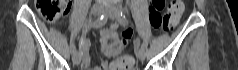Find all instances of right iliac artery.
<instances>
[{
	"label": "right iliac artery",
	"instance_id": "right-iliac-artery-1",
	"mask_svg": "<svg viewBox=\"0 0 238 70\" xmlns=\"http://www.w3.org/2000/svg\"><path fill=\"white\" fill-rule=\"evenodd\" d=\"M106 22H107V16L106 15H101L100 18L96 19L90 25V27L99 28V27H102L103 25H105ZM71 52H72V54H75L77 52L75 45L72 46Z\"/></svg>",
	"mask_w": 238,
	"mask_h": 70
}]
</instances>
